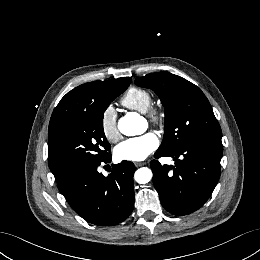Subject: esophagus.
Listing matches in <instances>:
<instances>
[{
	"label": "esophagus",
	"mask_w": 260,
	"mask_h": 260,
	"mask_svg": "<svg viewBox=\"0 0 260 260\" xmlns=\"http://www.w3.org/2000/svg\"><path fill=\"white\" fill-rule=\"evenodd\" d=\"M136 167L143 166L145 163L144 162H135L134 163Z\"/></svg>",
	"instance_id": "34e87169"
}]
</instances>
